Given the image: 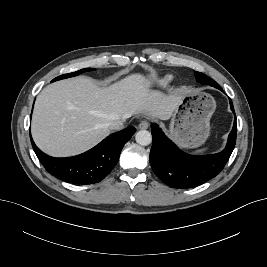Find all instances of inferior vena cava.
Returning <instances> with one entry per match:
<instances>
[{
	"instance_id": "obj_1",
	"label": "inferior vena cava",
	"mask_w": 267,
	"mask_h": 267,
	"mask_svg": "<svg viewBox=\"0 0 267 267\" xmlns=\"http://www.w3.org/2000/svg\"><path fill=\"white\" fill-rule=\"evenodd\" d=\"M123 122L122 120H115V121H111L109 123V129L111 130H121L123 128Z\"/></svg>"
}]
</instances>
